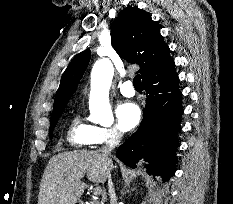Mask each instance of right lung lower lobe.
<instances>
[{"instance_id": "obj_1", "label": "right lung lower lobe", "mask_w": 233, "mask_h": 204, "mask_svg": "<svg viewBox=\"0 0 233 204\" xmlns=\"http://www.w3.org/2000/svg\"><path fill=\"white\" fill-rule=\"evenodd\" d=\"M147 94L144 116L140 127L116 152V157L134 168L144 158L153 175L163 180L174 175L177 132L183 113L182 93L175 64L143 80Z\"/></svg>"}]
</instances>
